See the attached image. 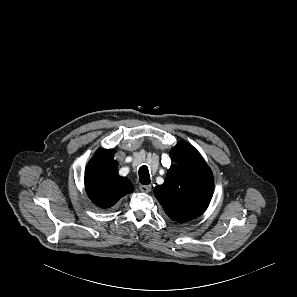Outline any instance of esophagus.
<instances>
[{
  "label": "esophagus",
  "mask_w": 297,
  "mask_h": 297,
  "mask_svg": "<svg viewBox=\"0 0 297 297\" xmlns=\"http://www.w3.org/2000/svg\"><path fill=\"white\" fill-rule=\"evenodd\" d=\"M139 189L141 192L148 193L151 191V185H140Z\"/></svg>",
  "instance_id": "obj_1"
}]
</instances>
